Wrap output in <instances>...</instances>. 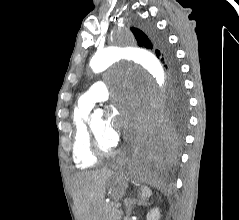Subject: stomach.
Instances as JSON below:
<instances>
[{
    "label": "stomach",
    "mask_w": 239,
    "mask_h": 220,
    "mask_svg": "<svg viewBox=\"0 0 239 220\" xmlns=\"http://www.w3.org/2000/svg\"><path fill=\"white\" fill-rule=\"evenodd\" d=\"M112 186H125V189L128 187V183H111ZM124 192V191H120Z\"/></svg>",
    "instance_id": "0dacf381"
}]
</instances>
